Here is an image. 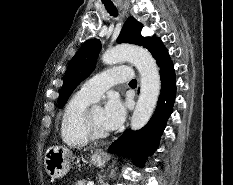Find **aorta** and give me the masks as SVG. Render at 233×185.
<instances>
[{
  "mask_svg": "<svg viewBox=\"0 0 233 185\" xmlns=\"http://www.w3.org/2000/svg\"><path fill=\"white\" fill-rule=\"evenodd\" d=\"M102 61L110 65L122 61H129L139 71L141 76V89L130 126L132 130L141 129L150 120L160 93L161 82L155 60L142 47L119 45L107 50L102 56Z\"/></svg>",
  "mask_w": 233,
  "mask_h": 185,
  "instance_id": "1",
  "label": "aorta"
}]
</instances>
